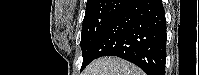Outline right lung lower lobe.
<instances>
[{"label":"right lung lower lobe","instance_id":"1","mask_svg":"<svg viewBox=\"0 0 199 75\" xmlns=\"http://www.w3.org/2000/svg\"><path fill=\"white\" fill-rule=\"evenodd\" d=\"M166 40L162 1L128 0L96 42L90 60L118 56L147 75H165Z\"/></svg>","mask_w":199,"mask_h":75}]
</instances>
